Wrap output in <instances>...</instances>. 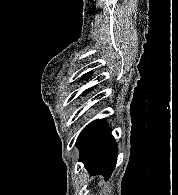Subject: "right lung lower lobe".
I'll use <instances>...</instances> for the list:
<instances>
[{
  "instance_id": "obj_1",
  "label": "right lung lower lobe",
  "mask_w": 178,
  "mask_h": 195,
  "mask_svg": "<svg viewBox=\"0 0 178 195\" xmlns=\"http://www.w3.org/2000/svg\"><path fill=\"white\" fill-rule=\"evenodd\" d=\"M79 161L92 175H103L108 180L117 162V144L104 119L88 124L78 136Z\"/></svg>"
}]
</instances>
